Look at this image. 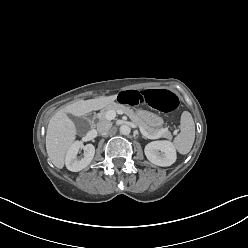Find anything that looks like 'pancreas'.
Segmentation results:
<instances>
[{"label": "pancreas", "mask_w": 248, "mask_h": 248, "mask_svg": "<svg viewBox=\"0 0 248 248\" xmlns=\"http://www.w3.org/2000/svg\"><path fill=\"white\" fill-rule=\"evenodd\" d=\"M109 110H114V111L121 110V111H123L126 115H128L130 117V119L135 124H137L139 127H142L147 133H149L151 135H156L161 130V129H155V128L150 127L132 109H130L127 106L117 104V103H112V104L108 105L107 107H105L104 109H102L100 114H99V118L101 120L105 119V115ZM161 137L171 138L172 135L167 130L166 132L161 134Z\"/></svg>", "instance_id": "obj_1"}]
</instances>
